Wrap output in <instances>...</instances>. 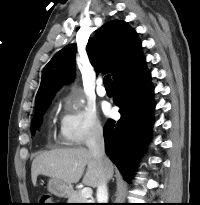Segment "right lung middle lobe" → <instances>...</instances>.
Here are the masks:
<instances>
[{"label":"right lung middle lobe","instance_id":"obj_1","mask_svg":"<svg viewBox=\"0 0 200 205\" xmlns=\"http://www.w3.org/2000/svg\"><path fill=\"white\" fill-rule=\"evenodd\" d=\"M51 102V99H47L42 101L35 110V115L31 121V132L33 133L36 128H38L42 121V116L46 109L48 108L49 104Z\"/></svg>","mask_w":200,"mask_h":205}]
</instances>
